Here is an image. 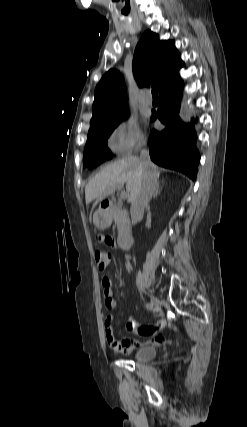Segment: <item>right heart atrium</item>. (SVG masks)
Instances as JSON below:
<instances>
[{"mask_svg":"<svg viewBox=\"0 0 247 427\" xmlns=\"http://www.w3.org/2000/svg\"><path fill=\"white\" fill-rule=\"evenodd\" d=\"M108 147L119 154H129L145 144V137L134 120L118 123L109 133Z\"/></svg>","mask_w":247,"mask_h":427,"instance_id":"right-heart-atrium-1","label":"right heart atrium"}]
</instances>
